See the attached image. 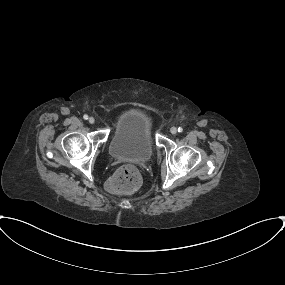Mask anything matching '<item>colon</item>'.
Returning a JSON list of instances; mask_svg holds the SVG:
<instances>
[{
  "instance_id": "obj_1",
  "label": "colon",
  "mask_w": 285,
  "mask_h": 285,
  "mask_svg": "<svg viewBox=\"0 0 285 285\" xmlns=\"http://www.w3.org/2000/svg\"><path fill=\"white\" fill-rule=\"evenodd\" d=\"M141 183L139 171L133 166L118 169L108 180L107 188L115 193H132Z\"/></svg>"
}]
</instances>
